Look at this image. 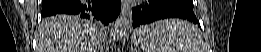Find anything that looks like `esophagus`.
I'll return each mask as SVG.
<instances>
[{
    "mask_svg": "<svg viewBox=\"0 0 261 52\" xmlns=\"http://www.w3.org/2000/svg\"><path fill=\"white\" fill-rule=\"evenodd\" d=\"M121 14L122 16H129L130 14V7L126 2L122 3Z\"/></svg>",
    "mask_w": 261,
    "mask_h": 52,
    "instance_id": "esophagus-1",
    "label": "esophagus"
}]
</instances>
